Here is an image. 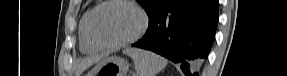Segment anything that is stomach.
Masks as SVG:
<instances>
[{"label": "stomach", "mask_w": 287, "mask_h": 76, "mask_svg": "<svg viewBox=\"0 0 287 76\" xmlns=\"http://www.w3.org/2000/svg\"><path fill=\"white\" fill-rule=\"evenodd\" d=\"M129 64L119 57H107L99 62L86 76H125Z\"/></svg>", "instance_id": "obj_1"}]
</instances>
